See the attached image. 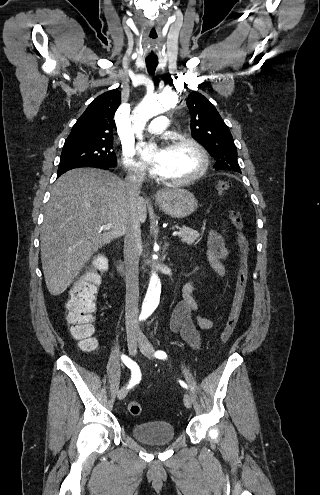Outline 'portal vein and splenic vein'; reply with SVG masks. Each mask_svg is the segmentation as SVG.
<instances>
[{
    "label": "portal vein and splenic vein",
    "mask_w": 320,
    "mask_h": 495,
    "mask_svg": "<svg viewBox=\"0 0 320 495\" xmlns=\"http://www.w3.org/2000/svg\"><path fill=\"white\" fill-rule=\"evenodd\" d=\"M110 227H111L110 225L105 226V228H106V229H109ZM179 234H180V232H173V234H172V235H173V236H177V235H179Z\"/></svg>",
    "instance_id": "portal-vein-and-splenic-vein-1"
}]
</instances>
